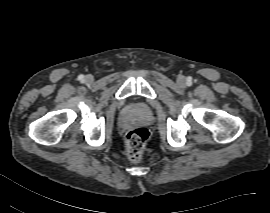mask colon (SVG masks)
I'll use <instances>...</instances> for the list:
<instances>
[{
    "label": "colon",
    "mask_w": 270,
    "mask_h": 213,
    "mask_svg": "<svg viewBox=\"0 0 270 213\" xmlns=\"http://www.w3.org/2000/svg\"><path fill=\"white\" fill-rule=\"evenodd\" d=\"M149 139L147 129L143 127L132 129L126 136V152L129 160L138 161L146 148Z\"/></svg>",
    "instance_id": "obj_1"
}]
</instances>
